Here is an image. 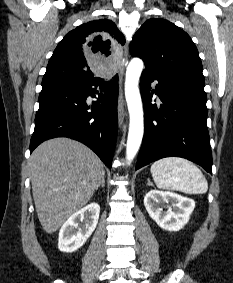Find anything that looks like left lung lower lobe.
I'll use <instances>...</instances> for the list:
<instances>
[{"mask_svg": "<svg viewBox=\"0 0 233 283\" xmlns=\"http://www.w3.org/2000/svg\"><path fill=\"white\" fill-rule=\"evenodd\" d=\"M154 80L158 84L151 90ZM204 86V80L190 76L142 72L140 91L145 131L136 170L158 159L177 156L199 164L212 174ZM153 93L159 96L160 107L151 104Z\"/></svg>", "mask_w": 233, "mask_h": 283, "instance_id": "1", "label": "left lung lower lobe"}]
</instances>
